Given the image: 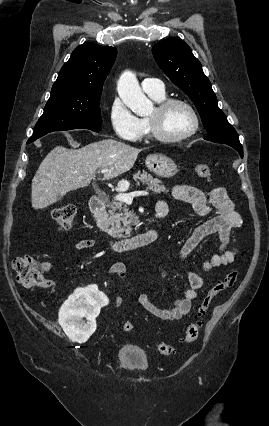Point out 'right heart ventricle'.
Here are the masks:
<instances>
[{"instance_id":"right-heart-ventricle-1","label":"right heart ventricle","mask_w":269,"mask_h":426,"mask_svg":"<svg viewBox=\"0 0 269 426\" xmlns=\"http://www.w3.org/2000/svg\"><path fill=\"white\" fill-rule=\"evenodd\" d=\"M151 98L156 102H160V101L165 99V95H163V96H151ZM141 122H142V126H143V134H145V135L149 134L146 119H141Z\"/></svg>"}]
</instances>
